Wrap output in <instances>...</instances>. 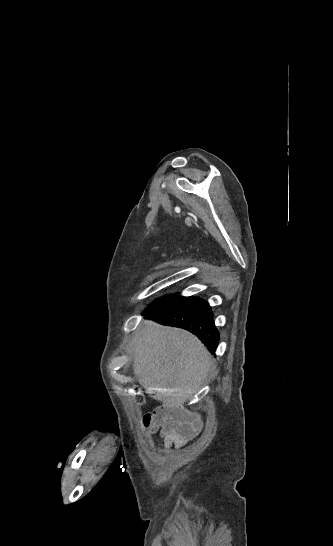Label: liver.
I'll return each instance as SVG.
<instances>
[{"instance_id":"1","label":"liver","mask_w":333,"mask_h":546,"mask_svg":"<svg viewBox=\"0 0 333 546\" xmlns=\"http://www.w3.org/2000/svg\"><path fill=\"white\" fill-rule=\"evenodd\" d=\"M133 351L140 385L169 408H183L210 370L209 353L196 336L149 320L135 337Z\"/></svg>"}]
</instances>
